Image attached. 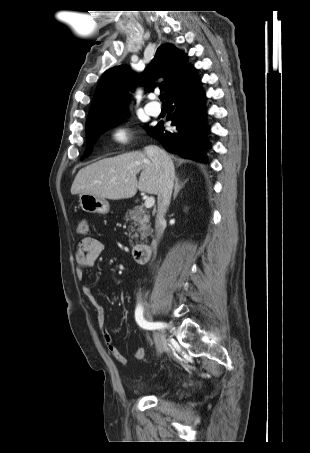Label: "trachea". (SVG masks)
<instances>
[{
  "instance_id": "3493384b",
  "label": "trachea",
  "mask_w": 310,
  "mask_h": 453,
  "mask_svg": "<svg viewBox=\"0 0 310 453\" xmlns=\"http://www.w3.org/2000/svg\"><path fill=\"white\" fill-rule=\"evenodd\" d=\"M159 98H160V100L164 103V101H163V100H164L163 94H160Z\"/></svg>"
}]
</instances>
